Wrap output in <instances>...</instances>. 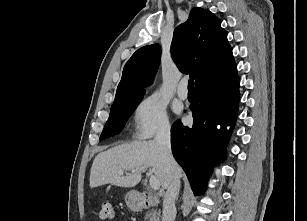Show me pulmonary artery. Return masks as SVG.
<instances>
[{"instance_id":"obj_1","label":"pulmonary artery","mask_w":307,"mask_h":221,"mask_svg":"<svg viewBox=\"0 0 307 221\" xmlns=\"http://www.w3.org/2000/svg\"><path fill=\"white\" fill-rule=\"evenodd\" d=\"M177 95L180 99L185 100L188 97V91H187V81L181 80L178 88H177Z\"/></svg>"}]
</instances>
